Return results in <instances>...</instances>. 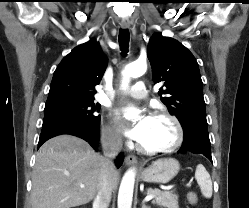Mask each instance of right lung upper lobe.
I'll return each instance as SVG.
<instances>
[{"instance_id":"obj_1","label":"right lung upper lobe","mask_w":249,"mask_h":208,"mask_svg":"<svg viewBox=\"0 0 249 208\" xmlns=\"http://www.w3.org/2000/svg\"><path fill=\"white\" fill-rule=\"evenodd\" d=\"M106 67L107 57L96 40L77 46L56 68L45 107L94 100Z\"/></svg>"}]
</instances>
